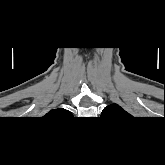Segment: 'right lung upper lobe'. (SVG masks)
<instances>
[{
    "instance_id": "right-lung-upper-lobe-1",
    "label": "right lung upper lobe",
    "mask_w": 165,
    "mask_h": 165,
    "mask_svg": "<svg viewBox=\"0 0 165 165\" xmlns=\"http://www.w3.org/2000/svg\"><path fill=\"white\" fill-rule=\"evenodd\" d=\"M69 116L70 115V112L68 110H65V109H53L51 110L50 112H48L46 114V118H59L61 116Z\"/></svg>"
}]
</instances>
